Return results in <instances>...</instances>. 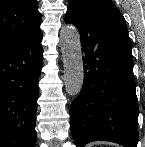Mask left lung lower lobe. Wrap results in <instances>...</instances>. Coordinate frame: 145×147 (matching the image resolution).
<instances>
[{
    "label": "left lung lower lobe",
    "instance_id": "obj_1",
    "mask_svg": "<svg viewBox=\"0 0 145 147\" xmlns=\"http://www.w3.org/2000/svg\"><path fill=\"white\" fill-rule=\"evenodd\" d=\"M65 22L78 28L84 53L82 90L70 107L76 146L104 140L136 147L139 108L123 15L107 3L77 2L68 6Z\"/></svg>",
    "mask_w": 145,
    "mask_h": 147
}]
</instances>
